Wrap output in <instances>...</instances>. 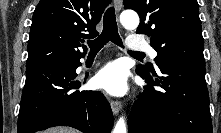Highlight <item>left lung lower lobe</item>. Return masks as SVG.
<instances>
[{"label":"left lung lower lobe","instance_id":"obj_1","mask_svg":"<svg viewBox=\"0 0 221 133\" xmlns=\"http://www.w3.org/2000/svg\"><path fill=\"white\" fill-rule=\"evenodd\" d=\"M159 69L157 76L136 68L149 85L132 107L129 133H212L205 65L172 61Z\"/></svg>","mask_w":221,"mask_h":133}]
</instances>
